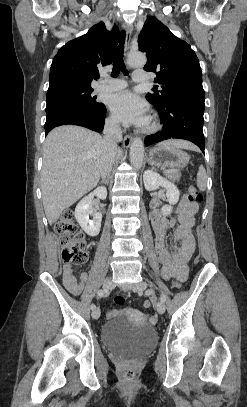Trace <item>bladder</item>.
I'll use <instances>...</instances> for the list:
<instances>
[{
  "label": "bladder",
  "mask_w": 247,
  "mask_h": 407,
  "mask_svg": "<svg viewBox=\"0 0 247 407\" xmlns=\"http://www.w3.org/2000/svg\"><path fill=\"white\" fill-rule=\"evenodd\" d=\"M101 337L103 344L111 352L129 359L143 357L157 343V333L154 328L148 324H133L121 312L104 323Z\"/></svg>",
  "instance_id": "31cf9c89"
}]
</instances>
